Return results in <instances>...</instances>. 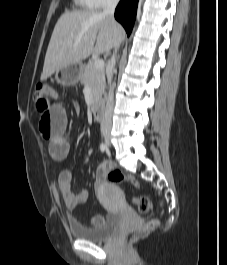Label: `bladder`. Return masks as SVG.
I'll return each mask as SVG.
<instances>
[{"label":"bladder","mask_w":227,"mask_h":265,"mask_svg":"<svg viewBox=\"0 0 227 265\" xmlns=\"http://www.w3.org/2000/svg\"><path fill=\"white\" fill-rule=\"evenodd\" d=\"M116 193L119 192L117 187H114ZM121 217L118 214H109L103 222L98 226L86 227L77 222L69 223V231L73 238L88 242H102L112 236L119 228Z\"/></svg>","instance_id":"31cf9c89"}]
</instances>
